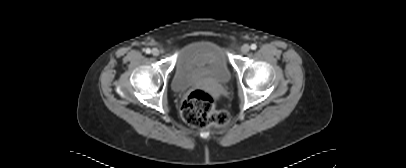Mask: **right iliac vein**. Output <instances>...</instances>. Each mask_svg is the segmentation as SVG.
Segmentation results:
<instances>
[{
    "label": "right iliac vein",
    "instance_id": "1",
    "mask_svg": "<svg viewBox=\"0 0 406 168\" xmlns=\"http://www.w3.org/2000/svg\"><path fill=\"white\" fill-rule=\"evenodd\" d=\"M151 53H152L153 56H158L160 54V51L157 48H153Z\"/></svg>",
    "mask_w": 406,
    "mask_h": 168
}]
</instances>
